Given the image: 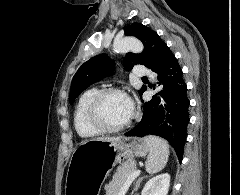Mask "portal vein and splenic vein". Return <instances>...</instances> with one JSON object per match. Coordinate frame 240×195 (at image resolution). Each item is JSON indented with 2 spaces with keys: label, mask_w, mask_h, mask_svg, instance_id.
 <instances>
[{
  "label": "portal vein and splenic vein",
  "mask_w": 240,
  "mask_h": 195,
  "mask_svg": "<svg viewBox=\"0 0 240 195\" xmlns=\"http://www.w3.org/2000/svg\"><path fill=\"white\" fill-rule=\"evenodd\" d=\"M141 173V169H136V171H133V173H130L129 177H127V182H124V185L120 188V195H125V191L131 187V183L134 182L135 177H137V175H140Z\"/></svg>",
  "instance_id": "1"
}]
</instances>
